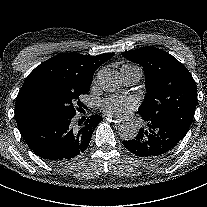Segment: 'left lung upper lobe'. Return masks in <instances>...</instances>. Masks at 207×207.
<instances>
[{
	"label": "left lung upper lobe",
	"instance_id": "left-lung-upper-lobe-1",
	"mask_svg": "<svg viewBox=\"0 0 207 207\" xmlns=\"http://www.w3.org/2000/svg\"><path fill=\"white\" fill-rule=\"evenodd\" d=\"M145 72L147 94L139 113L144 120H169L188 131L197 104L196 83L175 57L154 47L122 52Z\"/></svg>",
	"mask_w": 207,
	"mask_h": 207
}]
</instances>
